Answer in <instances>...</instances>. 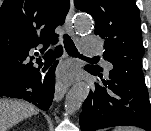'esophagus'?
<instances>
[{
    "label": "esophagus",
    "instance_id": "34e87169",
    "mask_svg": "<svg viewBox=\"0 0 151 131\" xmlns=\"http://www.w3.org/2000/svg\"><path fill=\"white\" fill-rule=\"evenodd\" d=\"M74 13H75L74 2L73 0H70V9L66 17L65 25H66V29L68 33L73 37L75 36V33L72 28V18H73ZM67 90H68L67 85L57 84L55 88V101L57 102L60 101L64 97Z\"/></svg>",
    "mask_w": 151,
    "mask_h": 131
}]
</instances>
